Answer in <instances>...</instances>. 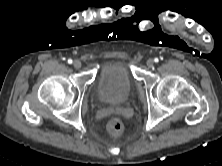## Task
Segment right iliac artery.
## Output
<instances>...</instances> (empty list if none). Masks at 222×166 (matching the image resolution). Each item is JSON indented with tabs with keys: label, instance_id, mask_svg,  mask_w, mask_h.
<instances>
[{
	"label": "right iliac artery",
	"instance_id": "82829eb1",
	"mask_svg": "<svg viewBox=\"0 0 222 166\" xmlns=\"http://www.w3.org/2000/svg\"><path fill=\"white\" fill-rule=\"evenodd\" d=\"M73 61L72 59H68V63L71 64Z\"/></svg>",
	"mask_w": 222,
	"mask_h": 166
}]
</instances>
